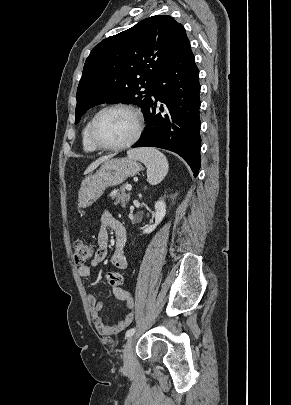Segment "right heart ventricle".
Masks as SVG:
<instances>
[{
    "mask_svg": "<svg viewBox=\"0 0 291 405\" xmlns=\"http://www.w3.org/2000/svg\"><path fill=\"white\" fill-rule=\"evenodd\" d=\"M89 122L88 121L81 132V143H82V149L84 152L87 153H93L95 152L97 149L91 144L89 137H88V127H89Z\"/></svg>",
    "mask_w": 291,
    "mask_h": 405,
    "instance_id": "obj_1",
    "label": "right heart ventricle"
}]
</instances>
